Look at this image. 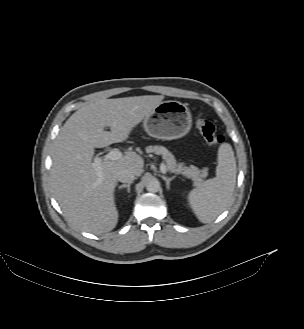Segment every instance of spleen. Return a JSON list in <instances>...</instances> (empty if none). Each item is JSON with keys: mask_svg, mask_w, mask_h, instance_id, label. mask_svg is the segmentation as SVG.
I'll return each mask as SVG.
<instances>
[{"mask_svg": "<svg viewBox=\"0 0 304 329\" xmlns=\"http://www.w3.org/2000/svg\"><path fill=\"white\" fill-rule=\"evenodd\" d=\"M236 160L232 146L220 145L216 177L194 188L188 197L190 207L202 223H209L220 215L232 200L236 184Z\"/></svg>", "mask_w": 304, "mask_h": 329, "instance_id": "3e777b00", "label": "spleen"}]
</instances>
